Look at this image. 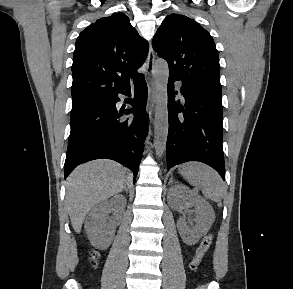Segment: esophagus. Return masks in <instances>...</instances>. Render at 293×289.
Here are the masks:
<instances>
[{
    "instance_id": "obj_1",
    "label": "esophagus",
    "mask_w": 293,
    "mask_h": 289,
    "mask_svg": "<svg viewBox=\"0 0 293 289\" xmlns=\"http://www.w3.org/2000/svg\"><path fill=\"white\" fill-rule=\"evenodd\" d=\"M154 51L152 46L149 47V52L146 60V82L148 86V100H147V113L151 119L152 113L156 103V88L154 78Z\"/></svg>"
}]
</instances>
